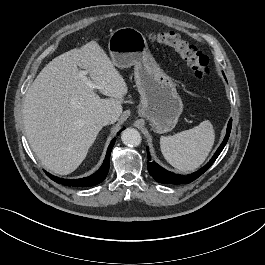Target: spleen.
<instances>
[{
  "label": "spleen",
  "mask_w": 265,
  "mask_h": 265,
  "mask_svg": "<svg viewBox=\"0 0 265 265\" xmlns=\"http://www.w3.org/2000/svg\"><path fill=\"white\" fill-rule=\"evenodd\" d=\"M215 141L213 125L206 120L192 129L173 136H162L160 148L164 158L179 171H193L209 155Z\"/></svg>",
  "instance_id": "spleen-1"
}]
</instances>
